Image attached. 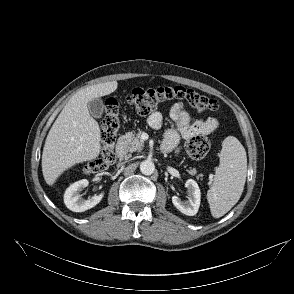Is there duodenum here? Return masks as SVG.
Segmentation results:
<instances>
[{
	"label": "duodenum",
	"instance_id": "duodenum-1",
	"mask_svg": "<svg viewBox=\"0 0 294 294\" xmlns=\"http://www.w3.org/2000/svg\"><path fill=\"white\" fill-rule=\"evenodd\" d=\"M127 146H128V138L126 135H122L120 136V138L117 141L116 144V155L121 158L124 159L127 156Z\"/></svg>",
	"mask_w": 294,
	"mask_h": 294
}]
</instances>
